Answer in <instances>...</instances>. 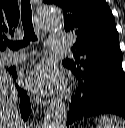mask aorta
Returning a JSON list of instances; mask_svg holds the SVG:
<instances>
[{
  "label": "aorta",
  "instance_id": "1",
  "mask_svg": "<svg viewBox=\"0 0 125 128\" xmlns=\"http://www.w3.org/2000/svg\"><path fill=\"white\" fill-rule=\"evenodd\" d=\"M36 24L42 30L58 31L64 24L63 13L54 5H43L37 11ZM66 120L65 102L61 99L55 100L45 114L42 128H65Z\"/></svg>",
  "mask_w": 125,
  "mask_h": 128
}]
</instances>
